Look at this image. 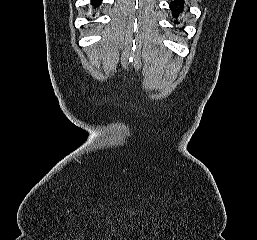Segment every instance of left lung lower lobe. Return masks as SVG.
Returning <instances> with one entry per match:
<instances>
[{"instance_id":"obj_1","label":"left lung lower lobe","mask_w":257,"mask_h":240,"mask_svg":"<svg viewBox=\"0 0 257 240\" xmlns=\"http://www.w3.org/2000/svg\"><path fill=\"white\" fill-rule=\"evenodd\" d=\"M169 7L172 11L173 17L178 18L179 14L183 12L184 0H173ZM174 23H177V21Z\"/></svg>"}]
</instances>
